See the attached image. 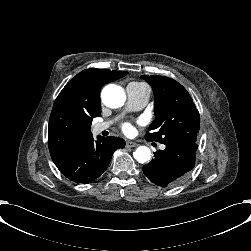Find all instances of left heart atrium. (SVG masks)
<instances>
[{
    "label": "left heart atrium",
    "instance_id": "39dd6f15",
    "mask_svg": "<svg viewBox=\"0 0 251 251\" xmlns=\"http://www.w3.org/2000/svg\"><path fill=\"white\" fill-rule=\"evenodd\" d=\"M123 129H124L125 131H129V130L131 129V127H130L128 124H124V125H123Z\"/></svg>",
    "mask_w": 251,
    "mask_h": 251
}]
</instances>
